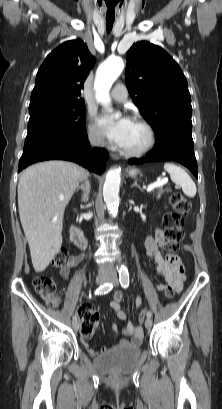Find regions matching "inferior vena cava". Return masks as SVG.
<instances>
[{
    "label": "inferior vena cava",
    "mask_w": 222,
    "mask_h": 409,
    "mask_svg": "<svg viewBox=\"0 0 222 409\" xmlns=\"http://www.w3.org/2000/svg\"><path fill=\"white\" fill-rule=\"evenodd\" d=\"M102 139H103V137H102L101 133L96 132L94 135H92L90 137V143H91V145L95 146V145L100 144ZM87 176H88V174L85 173L84 176L82 177L81 181H84V183L87 182V188H88V191H89V182L87 180ZM111 268H112V266L110 264H107V263L102 264L100 266L101 271H106V270H109Z\"/></svg>",
    "instance_id": "obj_1"
}]
</instances>
